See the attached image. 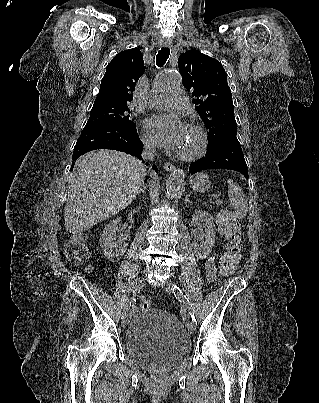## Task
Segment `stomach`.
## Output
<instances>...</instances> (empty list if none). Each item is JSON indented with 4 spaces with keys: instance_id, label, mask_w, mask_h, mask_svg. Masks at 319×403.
Segmentation results:
<instances>
[{
    "instance_id": "0dacf381",
    "label": "stomach",
    "mask_w": 319,
    "mask_h": 403,
    "mask_svg": "<svg viewBox=\"0 0 319 403\" xmlns=\"http://www.w3.org/2000/svg\"><path fill=\"white\" fill-rule=\"evenodd\" d=\"M189 185L196 192H205L210 188V180L204 173H198L190 177Z\"/></svg>"
}]
</instances>
